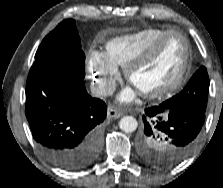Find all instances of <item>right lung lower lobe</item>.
I'll use <instances>...</instances> for the list:
<instances>
[{
  "label": "right lung lower lobe",
  "instance_id": "right-lung-lower-lobe-1",
  "mask_svg": "<svg viewBox=\"0 0 223 188\" xmlns=\"http://www.w3.org/2000/svg\"><path fill=\"white\" fill-rule=\"evenodd\" d=\"M106 114V104L92 98L83 79L64 66L31 67L26 82V117L38 147L55 166L77 171L95 160Z\"/></svg>",
  "mask_w": 223,
  "mask_h": 188
}]
</instances>
